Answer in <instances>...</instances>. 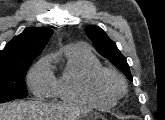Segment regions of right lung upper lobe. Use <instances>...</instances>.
<instances>
[{
  "label": "right lung upper lobe",
  "instance_id": "right-lung-upper-lobe-1",
  "mask_svg": "<svg viewBox=\"0 0 165 120\" xmlns=\"http://www.w3.org/2000/svg\"><path fill=\"white\" fill-rule=\"evenodd\" d=\"M53 30L46 27H28L14 37L0 51V62H15L36 58L46 46Z\"/></svg>",
  "mask_w": 165,
  "mask_h": 120
}]
</instances>
